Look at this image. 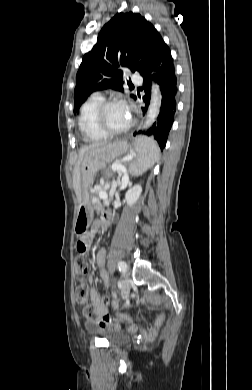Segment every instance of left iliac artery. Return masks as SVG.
I'll list each match as a JSON object with an SVG mask.
<instances>
[{
	"label": "left iliac artery",
	"instance_id": "obj_1",
	"mask_svg": "<svg viewBox=\"0 0 252 390\" xmlns=\"http://www.w3.org/2000/svg\"><path fill=\"white\" fill-rule=\"evenodd\" d=\"M118 269L120 272L125 273L127 270V264L124 261L118 262ZM113 297L116 298V295L113 294Z\"/></svg>",
	"mask_w": 252,
	"mask_h": 390
}]
</instances>
